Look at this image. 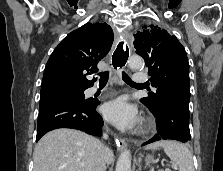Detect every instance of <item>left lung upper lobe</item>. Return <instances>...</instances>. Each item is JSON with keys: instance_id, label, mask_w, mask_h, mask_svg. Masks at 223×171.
<instances>
[{"instance_id": "left-lung-upper-lobe-1", "label": "left lung upper lobe", "mask_w": 223, "mask_h": 171, "mask_svg": "<svg viewBox=\"0 0 223 171\" xmlns=\"http://www.w3.org/2000/svg\"><path fill=\"white\" fill-rule=\"evenodd\" d=\"M134 35L136 53L148 67L150 81L156 88L140 101L153 113L166 100L189 107V63L184 47L177 38L158 26H144Z\"/></svg>"}]
</instances>
